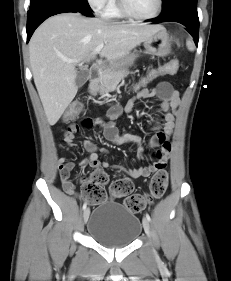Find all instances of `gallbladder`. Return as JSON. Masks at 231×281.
I'll return each mask as SVG.
<instances>
[{
	"instance_id": "1",
	"label": "gallbladder",
	"mask_w": 231,
	"mask_h": 281,
	"mask_svg": "<svg viewBox=\"0 0 231 281\" xmlns=\"http://www.w3.org/2000/svg\"><path fill=\"white\" fill-rule=\"evenodd\" d=\"M89 79V72L85 69H81L77 72V76L75 79V84L77 88L82 87L86 81Z\"/></svg>"
}]
</instances>
